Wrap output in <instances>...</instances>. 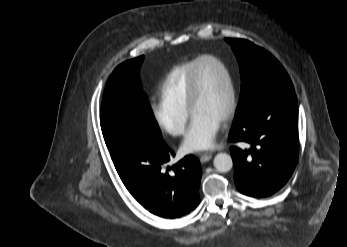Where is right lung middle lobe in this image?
I'll return each mask as SVG.
<instances>
[{
  "label": "right lung middle lobe",
  "instance_id": "right-lung-middle-lobe-1",
  "mask_svg": "<svg viewBox=\"0 0 347 247\" xmlns=\"http://www.w3.org/2000/svg\"><path fill=\"white\" fill-rule=\"evenodd\" d=\"M143 59L141 56L123 62L107 81L100 113V124L106 144L123 130H136L152 142L162 139L139 80V68Z\"/></svg>",
  "mask_w": 347,
  "mask_h": 247
}]
</instances>
